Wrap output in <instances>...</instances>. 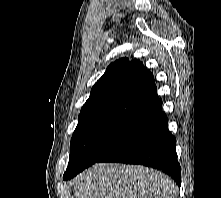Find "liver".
I'll return each instance as SVG.
<instances>
[{"label":"liver","mask_w":221,"mask_h":198,"mask_svg":"<svg viewBox=\"0 0 221 198\" xmlns=\"http://www.w3.org/2000/svg\"><path fill=\"white\" fill-rule=\"evenodd\" d=\"M75 198H178L167 175L154 169L116 163L95 164L75 178Z\"/></svg>","instance_id":"1"}]
</instances>
